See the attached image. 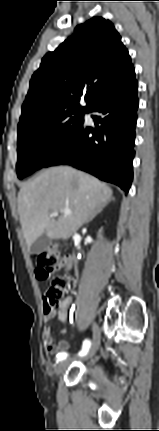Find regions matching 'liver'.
<instances>
[{"instance_id": "liver-1", "label": "liver", "mask_w": 159, "mask_h": 431, "mask_svg": "<svg viewBox=\"0 0 159 431\" xmlns=\"http://www.w3.org/2000/svg\"><path fill=\"white\" fill-rule=\"evenodd\" d=\"M112 190L97 178L67 166L52 167L22 185L18 213L27 246L43 233L50 239L70 238L101 205ZM69 209L65 215L63 210ZM58 212L57 220L50 212Z\"/></svg>"}]
</instances>
